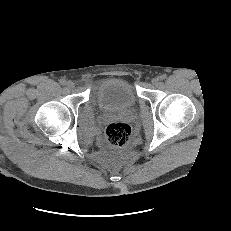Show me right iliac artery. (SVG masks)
<instances>
[{
  "label": "right iliac artery",
  "instance_id": "obj_1",
  "mask_svg": "<svg viewBox=\"0 0 231 231\" xmlns=\"http://www.w3.org/2000/svg\"><path fill=\"white\" fill-rule=\"evenodd\" d=\"M59 82H60L61 85H65L66 84V80L65 79H61Z\"/></svg>",
  "mask_w": 231,
  "mask_h": 231
}]
</instances>
